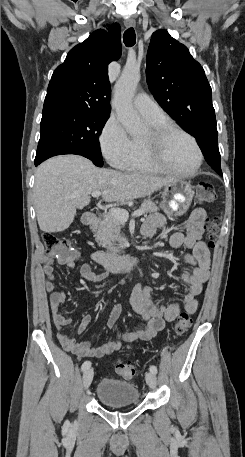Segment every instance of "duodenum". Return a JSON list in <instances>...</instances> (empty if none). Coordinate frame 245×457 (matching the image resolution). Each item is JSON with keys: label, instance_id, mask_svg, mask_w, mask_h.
<instances>
[{"label": "duodenum", "instance_id": "410a0bca", "mask_svg": "<svg viewBox=\"0 0 245 457\" xmlns=\"http://www.w3.org/2000/svg\"><path fill=\"white\" fill-rule=\"evenodd\" d=\"M86 225L93 226L97 223V216L89 214L85 217ZM96 261L111 272L127 271L139 264V257L134 255H111L98 253L95 255Z\"/></svg>", "mask_w": 245, "mask_h": 457}]
</instances>
